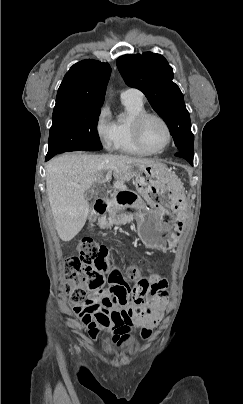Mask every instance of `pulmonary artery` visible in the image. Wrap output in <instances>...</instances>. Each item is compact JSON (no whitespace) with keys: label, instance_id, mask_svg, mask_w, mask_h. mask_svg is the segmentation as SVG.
<instances>
[{"label":"pulmonary artery","instance_id":"e3ab8cb5","mask_svg":"<svg viewBox=\"0 0 243 404\" xmlns=\"http://www.w3.org/2000/svg\"><path fill=\"white\" fill-rule=\"evenodd\" d=\"M130 90V88H125L122 90V94L127 93ZM141 99H143V94L141 93V95L139 96Z\"/></svg>","mask_w":243,"mask_h":404}]
</instances>
